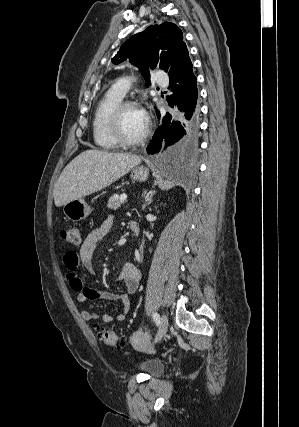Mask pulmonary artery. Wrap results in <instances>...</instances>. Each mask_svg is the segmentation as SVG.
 I'll list each match as a JSON object with an SVG mask.
<instances>
[{"label":"pulmonary artery","instance_id":"pulmonary-artery-1","mask_svg":"<svg viewBox=\"0 0 299 427\" xmlns=\"http://www.w3.org/2000/svg\"><path fill=\"white\" fill-rule=\"evenodd\" d=\"M156 81L160 85H166L167 84L166 76L162 70H158L156 72ZM130 87H131V81L126 76L119 78L112 85V89L123 97L129 91Z\"/></svg>","mask_w":299,"mask_h":427}]
</instances>
